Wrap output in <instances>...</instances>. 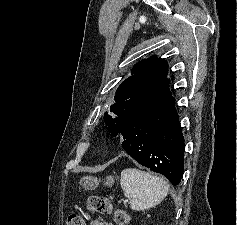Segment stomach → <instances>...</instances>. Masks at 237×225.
<instances>
[{
	"mask_svg": "<svg viewBox=\"0 0 237 225\" xmlns=\"http://www.w3.org/2000/svg\"><path fill=\"white\" fill-rule=\"evenodd\" d=\"M114 181H115V179H114L113 176H107L106 177V181H105V185L108 186V187H111L114 184ZM80 184L85 189L94 190L95 188H97V186L99 184V181H98V179L96 177L86 176V177H83L80 180Z\"/></svg>",
	"mask_w": 237,
	"mask_h": 225,
	"instance_id": "stomach-1",
	"label": "stomach"
}]
</instances>
